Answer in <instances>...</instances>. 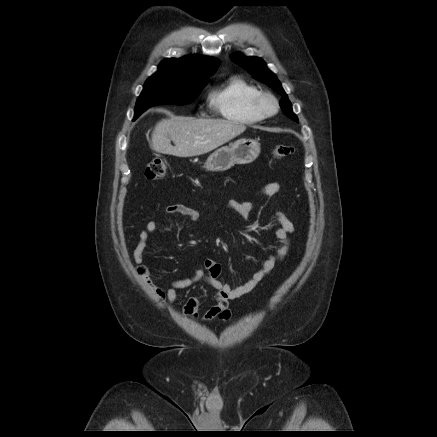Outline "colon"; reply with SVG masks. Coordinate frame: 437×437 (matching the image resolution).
Here are the masks:
<instances>
[{
	"mask_svg": "<svg viewBox=\"0 0 437 437\" xmlns=\"http://www.w3.org/2000/svg\"><path fill=\"white\" fill-rule=\"evenodd\" d=\"M294 153V148L290 145H278L273 149L275 158H284L291 156ZM168 161L164 157L153 158L145 169V177L148 180H154L164 176L168 170ZM141 273H145L144 268L139 269Z\"/></svg>",
	"mask_w": 437,
	"mask_h": 437,
	"instance_id": "1",
	"label": "colon"
}]
</instances>
